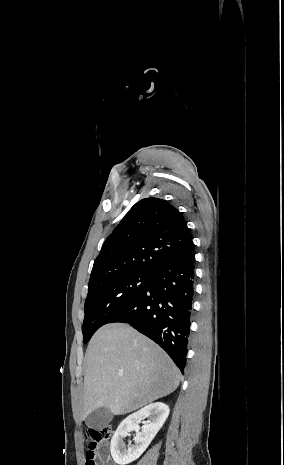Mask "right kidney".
I'll return each instance as SVG.
<instances>
[{
    "label": "right kidney",
    "instance_id": "right-kidney-1",
    "mask_svg": "<svg viewBox=\"0 0 284 465\" xmlns=\"http://www.w3.org/2000/svg\"><path fill=\"white\" fill-rule=\"evenodd\" d=\"M169 413L170 409L165 403H151V405L143 407L137 413H133V415H129L127 419H124L111 439L110 451L115 463L117 465H129L132 461L139 459L140 455L146 451L155 435L163 427ZM143 417H148L149 423H143L141 433H136L133 439L135 445H128V449H125L124 437H127L130 431L135 429L136 421L143 419Z\"/></svg>",
    "mask_w": 284,
    "mask_h": 465
}]
</instances>
